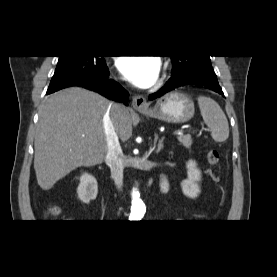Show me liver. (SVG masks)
Returning <instances> with one entry per match:
<instances>
[{
	"label": "liver",
	"instance_id": "6515ba94",
	"mask_svg": "<svg viewBox=\"0 0 277 277\" xmlns=\"http://www.w3.org/2000/svg\"><path fill=\"white\" fill-rule=\"evenodd\" d=\"M109 101L80 87L50 95L39 107L34 141V169L43 190L74 169L101 164L106 154L103 117ZM117 105V104H114ZM113 124L124 142L132 135L128 109L113 113Z\"/></svg>",
	"mask_w": 277,
	"mask_h": 277
}]
</instances>
